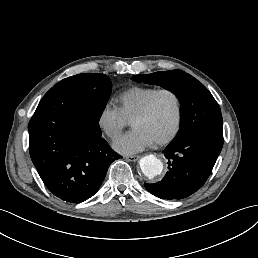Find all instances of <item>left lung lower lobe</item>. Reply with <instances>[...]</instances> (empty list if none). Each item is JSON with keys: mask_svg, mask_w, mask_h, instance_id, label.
I'll return each mask as SVG.
<instances>
[{"mask_svg": "<svg viewBox=\"0 0 258 258\" xmlns=\"http://www.w3.org/2000/svg\"><path fill=\"white\" fill-rule=\"evenodd\" d=\"M223 146V132L205 131L163 151L169 171L156 184L145 188L161 199L180 200L198 191L206 182Z\"/></svg>", "mask_w": 258, "mask_h": 258, "instance_id": "0a47b994", "label": "left lung lower lobe"}]
</instances>
